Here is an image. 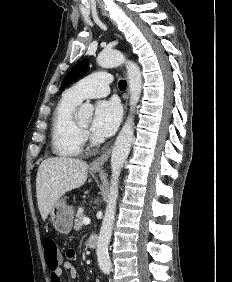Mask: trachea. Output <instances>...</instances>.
Here are the masks:
<instances>
[{
  "mask_svg": "<svg viewBox=\"0 0 232 282\" xmlns=\"http://www.w3.org/2000/svg\"><path fill=\"white\" fill-rule=\"evenodd\" d=\"M126 81L125 80H120L119 83H118V86H119V89L120 90H125L126 89Z\"/></svg>",
  "mask_w": 232,
  "mask_h": 282,
  "instance_id": "3493384b",
  "label": "trachea"
}]
</instances>
